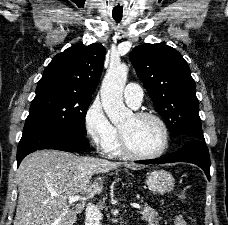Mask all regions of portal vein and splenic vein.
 <instances>
[{"instance_id": "18ae733b", "label": "portal vein and splenic vein", "mask_w": 228, "mask_h": 225, "mask_svg": "<svg viewBox=\"0 0 228 225\" xmlns=\"http://www.w3.org/2000/svg\"><path fill=\"white\" fill-rule=\"evenodd\" d=\"M67 201H69V203H76V201H83V197H67ZM133 207H135V209H140V205H136V203H133Z\"/></svg>"}]
</instances>
